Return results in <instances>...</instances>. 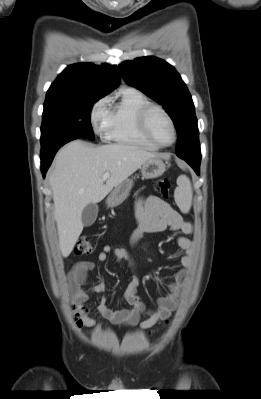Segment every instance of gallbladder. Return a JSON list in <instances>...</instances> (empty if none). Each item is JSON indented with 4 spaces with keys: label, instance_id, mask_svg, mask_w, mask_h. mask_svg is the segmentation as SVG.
I'll return each mask as SVG.
<instances>
[{
    "label": "gallbladder",
    "instance_id": "1",
    "mask_svg": "<svg viewBox=\"0 0 261 399\" xmlns=\"http://www.w3.org/2000/svg\"><path fill=\"white\" fill-rule=\"evenodd\" d=\"M98 215V206L95 203L88 204L82 211L81 219L85 227L91 226Z\"/></svg>",
    "mask_w": 261,
    "mask_h": 399
}]
</instances>
